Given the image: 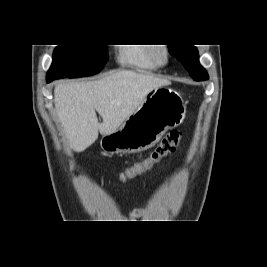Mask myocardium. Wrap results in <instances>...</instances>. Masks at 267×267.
I'll return each mask as SVG.
<instances>
[{
  "mask_svg": "<svg viewBox=\"0 0 267 267\" xmlns=\"http://www.w3.org/2000/svg\"><path fill=\"white\" fill-rule=\"evenodd\" d=\"M152 58L158 66L166 65L170 60L169 49L166 46H156L153 48Z\"/></svg>",
  "mask_w": 267,
  "mask_h": 267,
  "instance_id": "myocardium-1",
  "label": "myocardium"
}]
</instances>
